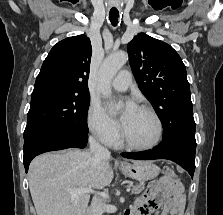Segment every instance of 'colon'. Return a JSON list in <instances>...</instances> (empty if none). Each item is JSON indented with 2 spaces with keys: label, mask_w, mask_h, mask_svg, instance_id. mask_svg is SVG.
<instances>
[{
  "label": "colon",
  "mask_w": 223,
  "mask_h": 215,
  "mask_svg": "<svg viewBox=\"0 0 223 215\" xmlns=\"http://www.w3.org/2000/svg\"><path fill=\"white\" fill-rule=\"evenodd\" d=\"M164 173H165V175H166L167 177H169V178H172V179L177 178L176 173H175L174 170H173L172 168H170V167H165V169H164Z\"/></svg>",
  "instance_id": "1"
}]
</instances>
